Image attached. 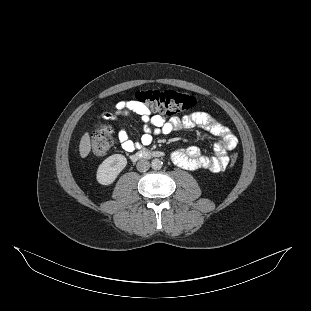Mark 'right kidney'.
<instances>
[{"mask_svg":"<svg viewBox=\"0 0 311 311\" xmlns=\"http://www.w3.org/2000/svg\"><path fill=\"white\" fill-rule=\"evenodd\" d=\"M126 165L127 159L124 155L114 154L109 156L98 167L97 181L102 185L113 183Z\"/></svg>","mask_w":311,"mask_h":311,"instance_id":"1","label":"right kidney"}]
</instances>
